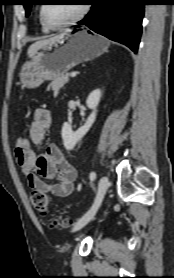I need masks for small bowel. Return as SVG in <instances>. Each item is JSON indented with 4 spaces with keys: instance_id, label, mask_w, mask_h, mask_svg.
Returning <instances> with one entry per match:
<instances>
[{
    "instance_id": "1",
    "label": "small bowel",
    "mask_w": 174,
    "mask_h": 278,
    "mask_svg": "<svg viewBox=\"0 0 174 278\" xmlns=\"http://www.w3.org/2000/svg\"><path fill=\"white\" fill-rule=\"evenodd\" d=\"M50 124V111L46 108H37L29 129L30 146L23 151L15 148L14 153L17 164L32 191L67 197L74 190L77 170L67 161L57 145L50 144L40 149ZM45 179L56 181L48 182Z\"/></svg>"
}]
</instances>
